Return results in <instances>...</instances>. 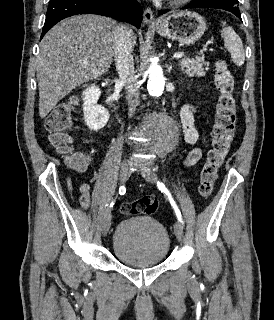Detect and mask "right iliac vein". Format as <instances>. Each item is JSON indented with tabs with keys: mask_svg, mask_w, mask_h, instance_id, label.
<instances>
[{
	"mask_svg": "<svg viewBox=\"0 0 274 320\" xmlns=\"http://www.w3.org/2000/svg\"><path fill=\"white\" fill-rule=\"evenodd\" d=\"M130 167H131V162H125L121 165L120 168V172H119V179L121 181V183H124L130 176L131 171H130ZM111 213L108 212L103 220V224H102V233L103 235H107V233L109 232L110 226H111Z\"/></svg>",
	"mask_w": 274,
	"mask_h": 320,
	"instance_id": "63e3f726",
	"label": "right iliac vein"
}]
</instances>
